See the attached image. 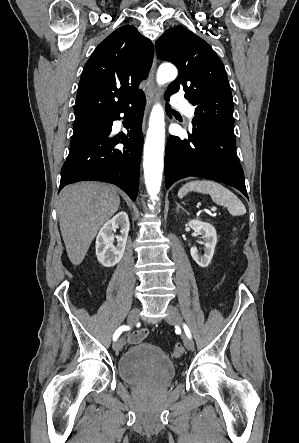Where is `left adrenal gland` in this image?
Segmentation results:
<instances>
[{"label":"left adrenal gland","mask_w":299,"mask_h":443,"mask_svg":"<svg viewBox=\"0 0 299 443\" xmlns=\"http://www.w3.org/2000/svg\"><path fill=\"white\" fill-rule=\"evenodd\" d=\"M176 205H177V211H178L179 209H182V210L185 211V209H184L182 206H180V204L176 203Z\"/></svg>","instance_id":"left-adrenal-gland-1"}]
</instances>
